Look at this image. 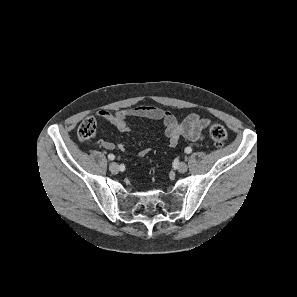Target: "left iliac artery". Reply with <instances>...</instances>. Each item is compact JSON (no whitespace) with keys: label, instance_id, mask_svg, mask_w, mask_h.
<instances>
[{"label":"left iliac artery","instance_id":"44dca946","mask_svg":"<svg viewBox=\"0 0 297 297\" xmlns=\"http://www.w3.org/2000/svg\"><path fill=\"white\" fill-rule=\"evenodd\" d=\"M185 152H186L187 154L191 153V152H192L191 147H186V148H185Z\"/></svg>","mask_w":297,"mask_h":297}]
</instances>
